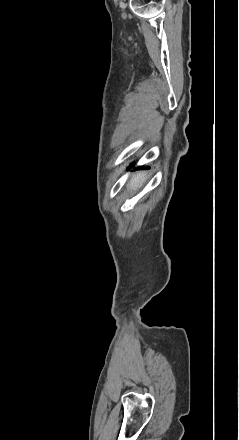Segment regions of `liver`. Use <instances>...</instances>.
I'll use <instances>...</instances> for the list:
<instances>
[{
    "instance_id": "liver-1",
    "label": "liver",
    "mask_w": 239,
    "mask_h": 440,
    "mask_svg": "<svg viewBox=\"0 0 239 440\" xmlns=\"http://www.w3.org/2000/svg\"><path fill=\"white\" fill-rule=\"evenodd\" d=\"M146 180L145 172H137L132 176L129 184H127V188H131V190H138V188H142L143 182Z\"/></svg>"
}]
</instances>
